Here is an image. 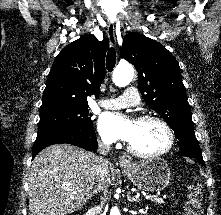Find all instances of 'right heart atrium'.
I'll return each mask as SVG.
<instances>
[{"label": "right heart atrium", "mask_w": 221, "mask_h": 215, "mask_svg": "<svg viewBox=\"0 0 221 215\" xmlns=\"http://www.w3.org/2000/svg\"><path fill=\"white\" fill-rule=\"evenodd\" d=\"M103 141H104L105 143H109V141H108V140H106V139H104Z\"/></svg>", "instance_id": "right-heart-atrium-1"}]
</instances>
